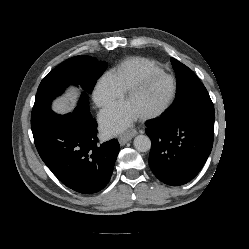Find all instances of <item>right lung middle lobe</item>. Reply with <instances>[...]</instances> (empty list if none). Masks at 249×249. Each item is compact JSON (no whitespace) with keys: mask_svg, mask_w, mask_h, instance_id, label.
I'll use <instances>...</instances> for the list:
<instances>
[{"mask_svg":"<svg viewBox=\"0 0 249 249\" xmlns=\"http://www.w3.org/2000/svg\"><path fill=\"white\" fill-rule=\"evenodd\" d=\"M106 68L105 62H98L91 56H75L54 68L44 77L38 87L32 109L31 125L52 111L51 101L69 85H80L84 92L79 102H88L87 93L92 92L97 79Z\"/></svg>","mask_w":249,"mask_h":249,"instance_id":"right-lung-middle-lobe-1","label":"right lung middle lobe"}]
</instances>
